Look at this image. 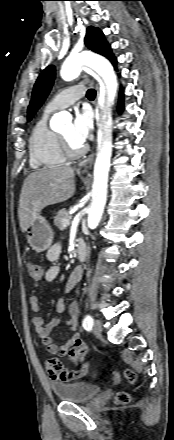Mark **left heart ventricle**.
Returning <instances> with one entry per match:
<instances>
[{
	"mask_svg": "<svg viewBox=\"0 0 174 440\" xmlns=\"http://www.w3.org/2000/svg\"><path fill=\"white\" fill-rule=\"evenodd\" d=\"M70 130H71V126H70V125H67V126H65V127L63 128V130L61 131V134H62V135L68 140V142L70 143V145H71L73 148L77 149V148H79L80 146L76 145V144L73 143V141L71 140V137H70Z\"/></svg>",
	"mask_w": 174,
	"mask_h": 440,
	"instance_id": "b2bd125f",
	"label": "left heart ventricle"
}]
</instances>
